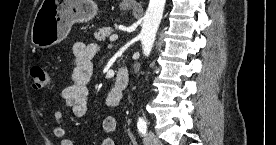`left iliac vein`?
Listing matches in <instances>:
<instances>
[{
    "label": "left iliac vein",
    "instance_id": "left-iliac-vein-1",
    "mask_svg": "<svg viewBox=\"0 0 276 145\" xmlns=\"http://www.w3.org/2000/svg\"><path fill=\"white\" fill-rule=\"evenodd\" d=\"M144 144L145 145H160L161 141L159 138L156 136V134L152 131H148L144 135Z\"/></svg>",
    "mask_w": 276,
    "mask_h": 145
}]
</instances>
